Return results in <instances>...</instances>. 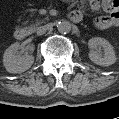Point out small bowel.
<instances>
[{"label":"small bowel","instance_id":"obj_1","mask_svg":"<svg viewBox=\"0 0 119 119\" xmlns=\"http://www.w3.org/2000/svg\"><path fill=\"white\" fill-rule=\"evenodd\" d=\"M90 8L94 12H106L107 15H99L94 18V26L98 30H106L119 25V0H91ZM85 4L82 2L76 12L81 15Z\"/></svg>","mask_w":119,"mask_h":119}]
</instances>
